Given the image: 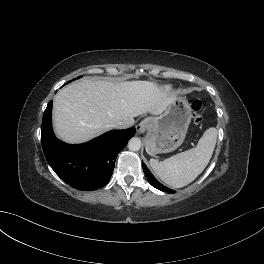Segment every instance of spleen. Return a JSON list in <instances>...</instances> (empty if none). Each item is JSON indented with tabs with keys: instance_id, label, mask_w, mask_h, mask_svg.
Instances as JSON below:
<instances>
[{
	"instance_id": "1",
	"label": "spleen",
	"mask_w": 264,
	"mask_h": 264,
	"mask_svg": "<svg viewBox=\"0 0 264 264\" xmlns=\"http://www.w3.org/2000/svg\"><path fill=\"white\" fill-rule=\"evenodd\" d=\"M217 139V129H207L195 148L176 154L164 161L151 159L154 173L167 185L181 188L194 181L208 165Z\"/></svg>"
}]
</instances>
